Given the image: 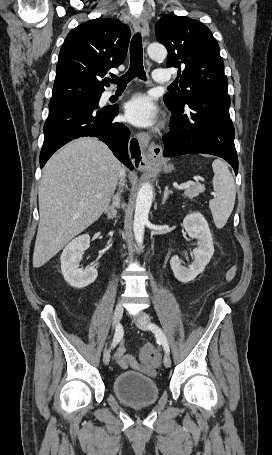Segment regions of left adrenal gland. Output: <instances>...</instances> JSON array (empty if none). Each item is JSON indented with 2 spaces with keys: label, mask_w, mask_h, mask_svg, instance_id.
Segmentation results:
<instances>
[{
  "label": "left adrenal gland",
  "mask_w": 272,
  "mask_h": 455,
  "mask_svg": "<svg viewBox=\"0 0 272 455\" xmlns=\"http://www.w3.org/2000/svg\"><path fill=\"white\" fill-rule=\"evenodd\" d=\"M170 194H172V191H170V190L168 189V186H166V187H165V191H164V196H163V199H162V204H163V205L165 204V202H166V200H167V198H168V196H169Z\"/></svg>",
  "instance_id": "a2214340"
}]
</instances>
